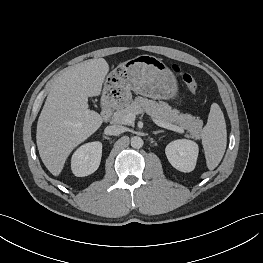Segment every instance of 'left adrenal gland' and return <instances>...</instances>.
Instances as JSON below:
<instances>
[{
	"instance_id": "left-adrenal-gland-1",
	"label": "left adrenal gland",
	"mask_w": 263,
	"mask_h": 263,
	"mask_svg": "<svg viewBox=\"0 0 263 263\" xmlns=\"http://www.w3.org/2000/svg\"><path fill=\"white\" fill-rule=\"evenodd\" d=\"M162 132H164V131L163 130H158V131H154L153 134L156 135V134L162 133Z\"/></svg>"
}]
</instances>
